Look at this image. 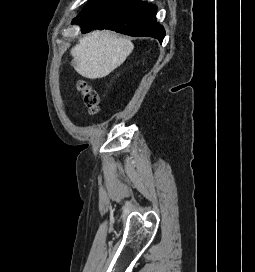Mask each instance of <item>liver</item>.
<instances>
[{
  "instance_id": "1",
  "label": "liver",
  "mask_w": 255,
  "mask_h": 272,
  "mask_svg": "<svg viewBox=\"0 0 255 272\" xmlns=\"http://www.w3.org/2000/svg\"><path fill=\"white\" fill-rule=\"evenodd\" d=\"M133 49L130 39L109 31H94L79 39L71 55L77 73L88 79H99L120 66Z\"/></svg>"
}]
</instances>
